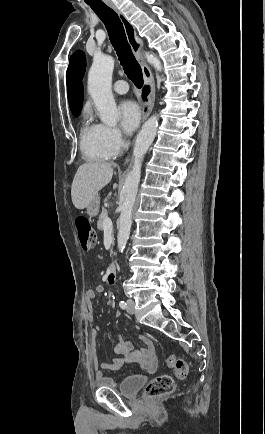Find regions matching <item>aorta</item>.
<instances>
[{
    "label": "aorta",
    "instance_id": "aorta-1",
    "mask_svg": "<svg viewBox=\"0 0 265 434\" xmlns=\"http://www.w3.org/2000/svg\"><path fill=\"white\" fill-rule=\"evenodd\" d=\"M145 58L148 64H151L155 70L162 72V64L157 56L145 52ZM113 70L114 60L112 56H97L96 54L88 74L87 92L90 94L100 114L101 122H104L106 126H117L119 118L111 90ZM158 120V116H151V118L143 124L142 130L136 138L133 150V166L123 186L124 200L122 206H120V216L117 222V244L119 252H123L129 240L132 224V210L141 178V162L144 154H146L148 148H150L152 142L155 140Z\"/></svg>",
    "mask_w": 265,
    "mask_h": 434
}]
</instances>
